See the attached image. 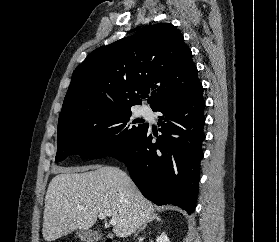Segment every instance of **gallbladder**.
I'll return each mask as SVG.
<instances>
[{
	"label": "gallbladder",
	"mask_w": 279,
	"mask_h": 242,
	"mask_svg": "<svg viewBox=\"0 0 279 242\" xmlns=\"http://www.w3.org/2000/svg\"><path fill=\"white\" fill-rule=\"evenodd\" d=\"M76 236L84 242H96L101 239L102 235L98 231L93 230H79L76 232Z\"/></svg>",
	"instance_id": "gallbladder-1"
}]
</instances>
